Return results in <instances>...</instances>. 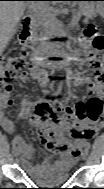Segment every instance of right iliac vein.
I'll use <instances>...</instances> for the list:
<instances>
[{"label": "right iliac vein", "mask_w": 104, "mask_h": 189, "mask_svg": "<svg viewBox=\"0 0 104 189\" xmlns=\"http://www.w3.org/2000/svg\"><path fill=\"white\" fill-rule=\"evenodd\" d=\"M13 155H14L15 157H17V156L20 155V151H19L18 148H14V149H13Z\"/></svg>", "instance_id": "obj_1"}]
</instances>
